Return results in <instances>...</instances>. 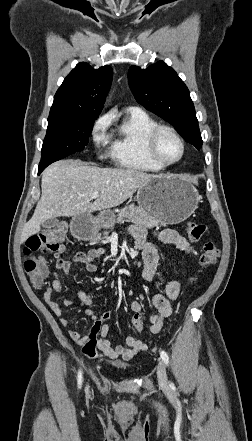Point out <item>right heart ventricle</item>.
I'll return each instance as SVG.
<instances>
[{"mask_svg": "<svg viewBox=\"0 0 252 441\" xmlns=\"http://www.w3.org/2000/svg\"><path fill=\"white\" fill-rule=\"evenodd\" d=\"M158 125L157 121L141 110H128L114 130L111 157L121 167L141 171L158 172L162 167L154 163L146 151V137Z\"/></svg>", "mask_w": 252, "mask_h": 441, "instance_id": "obj_1", "label": "right heart ventricle"}]
</instances>
